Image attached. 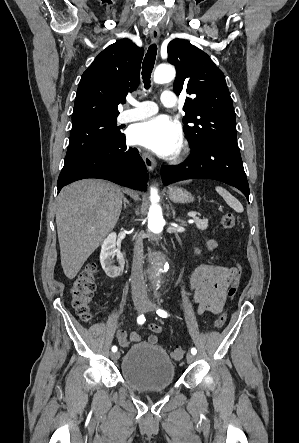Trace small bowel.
<instances>
[{"label": "small bowel", "mask_w": 299, "mask_h": 443, "mask_svg": "<svg viewBox=\"0 0 299 443\" xmlns=\"http://www.w3.org/2000/svg\"><path fill=\"white\" fill-rule=\"evenodd\" d=\"M206 247L209 251H215L218 248V244L215 240H209ZM233 277V268L220 265L204 264L191 272L189 285L193 290V299L199 314L205 312L221 313L226 300V291ZM148 328L154 334L148 337L147 342L155 345L159 341L156 334L162 332L163 326L151 323L148 325ZM117 340L121 347L127 348L132 343L142 342V337L136 332H132L128 336L125 330H118Z\"/></svg>", "instance_id": "1"}]
</instances>
